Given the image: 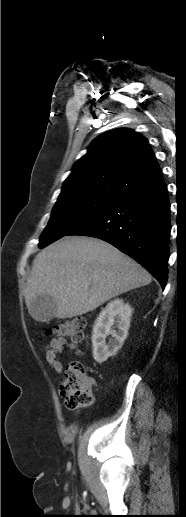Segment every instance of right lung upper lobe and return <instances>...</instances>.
Instances as JSON below:
<instances>
[{
	"label": "right lung upper lobe",
	"mask_w": 186,
	"mask_h": 517,
	"mask_svg": "<svg viewBox=\"0 0 186 517\" xmlns=\"http://www.w3.org/2000/svg\"><path fill=\"white\" fill-rule=\"evenodd\" d=\"M162 180V173L147 139L126 128L98 136L87 154L73 166L59 198L100 195L120 198Z\"/></svg>",
	"instance_id": "obj_1"
}]
</instances>
